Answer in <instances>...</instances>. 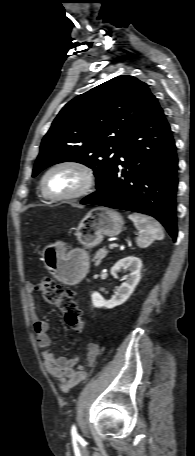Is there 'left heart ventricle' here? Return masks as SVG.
I'll return each instance as SVG.
<instances>
[{
  "instance_id": "left-heart-ventricle-1",
  "label": "left heart ventricle",
  "mask_w": 195,
  "mask_h": 456,
  "mask_svg": "<svg viewBox=\"0 0 195 456\" xmlns=\"http://www.w3.org/2000/svg\"><path fill=\"white\" fill-rule=\"evenodd\" d=\"M83 181V174L79 170L72 167H62L48 175L46 186L53 195H67L78 190Z\"/></svg>"
}]
</instances>
